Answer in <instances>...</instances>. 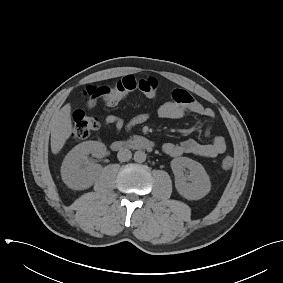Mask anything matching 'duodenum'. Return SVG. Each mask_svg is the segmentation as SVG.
<instances>
[{"label":"duodenum","instance_id":"1","mask_svg":"<svg viewBox=\"0 0 283 283\" xmlns=\"http://www.w3.org/2000/svg\"><path fill=\"white\" fill-rule=\"evenodd\" d=\"M111 148L114 151L124 149L152 151L154 149V143L146 138L136 137L128 140H116L112 142Z\"/></svg>","mask_w":283,"mask_h":283}]
</instances>
